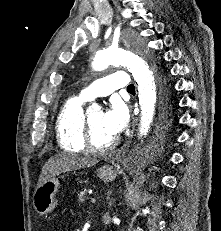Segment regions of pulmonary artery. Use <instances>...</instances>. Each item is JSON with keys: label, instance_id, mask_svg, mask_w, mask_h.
I'll return each instance as SVG.
<instances>
[{"label": "pulmonary artery", "instance_id": "pulmonary-artery-1", "mask_svg": "<svg viewBox=\"0 0 221 231\" xmlns=\"http://www.w3.org/2000/svg\"><path fill=\"white\" fill-rule=\"evenodd\" d=\"M129 85L130 80L126 72L117 71L86 86L81 90L80 96L89 101L96 97L108 96L115 89L127 88Z\"/></svg>", "mask_w": 221, "mask_h": 231}]
</instances>
